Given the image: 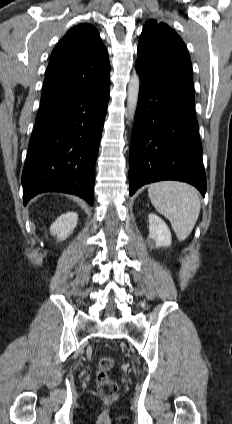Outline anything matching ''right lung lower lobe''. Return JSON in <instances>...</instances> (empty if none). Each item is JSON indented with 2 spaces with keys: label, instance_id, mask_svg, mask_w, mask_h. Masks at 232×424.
<instances>
[{
  "label": "right lung lower lobe",
  "instance_id": "98d812e1",
  "mask_svg": "<svg viewBox=\"0 0 232 424\" xmlns=\"http://www.w3.org/2000/svg\"><path fill=\"white\" fill-rule=\"evenodd\" d=\"M109 89L110 83L41 101L22 173L24 205L47 191L75 194L93 205Z\"/></svg>",
  "mask_w": 232,
  "mask_h": 424
}]
</instances>
